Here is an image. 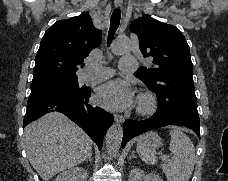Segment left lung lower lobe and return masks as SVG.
Segmentation results:
<instances>
[{"mask_svg":"<svg viewBox=\"0 0 228 181\" xmlns=\"http://www.w3.org/2000/svg\"><path fill=\"white\" fill-rule=\"evenodd\" d=\"M167 125L185 126L194 130L198 137L200 133L199 117L190 112H178L171 115H166L157 109L156 113L146 120H126L124 123V136L122 140V148L133 137L144 132L164 127Z\"/></svg>","mask_w":228,"mask_h":181,"instance_id":"obj_1","label":"left lung lower lobe"}]
</instances>
